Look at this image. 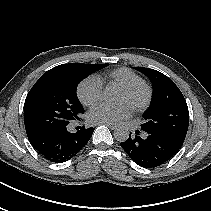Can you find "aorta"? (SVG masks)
I'll use <instances>...</instances> for the list:
<instances>
[{
    "mask_svg": "<svg viewBox=\"0 0 211 211\" xmlns=\"http://www.w3.org/2000/svg\"><path fill=\"white\" fill-rule=\"evenodd\" d=\"M103 100L107 104H115L118 102V96L109 88L103 91ZM114 138L119 142H124L129 138V131L127 128H118L114 131Z\"/></svg>",
    "mask_w": 211,
    "mask_h": 211,
    "instance_id": "aorta-1",
    "label": "aorta"
}]
</instances>
